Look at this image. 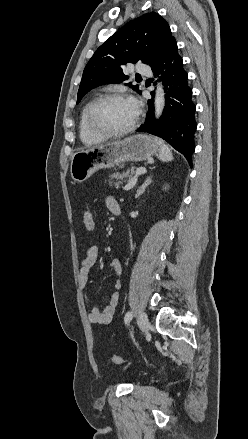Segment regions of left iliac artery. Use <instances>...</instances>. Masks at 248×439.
Listing matches in <instances>:
<instances>
[{
	"label": "left iliac artery",
	"mask_w": 248,
	"mask_h": 439,
	"mask_svg": "<svg viewBox=\"0 0 248 439\" xmlns=\"http://www.w3.org/2000/svg\"><path fill=\"white\" fill-rule=\"evenodd\" d=\"M132 317H133V313L130 311L127 312L124 317L125 323L128 324L132 320Z\"/></svg>",
	"instance_id": "44dca946"
}]
</instances>
